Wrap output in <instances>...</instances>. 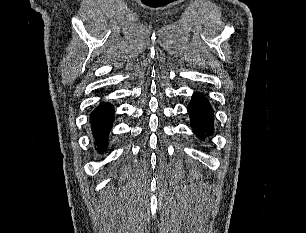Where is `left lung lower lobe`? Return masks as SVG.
Segmentation results:
<instances>
[{"mask_svg": "<svg viewBox=\"0 0 306 233\" xmlns=\"http://www.w3.org/2000/svg\"><path fill=\"white\" fill-rule=\"evenodd\" d=\"M191 127L199 138L213 133V109L201 93H195L188 107Z\"/></svg>", "mask_w": 306, "mask_h": 233, "instance_id": "obj_1", "label": "left lung lower lobe"}]
</instances>
